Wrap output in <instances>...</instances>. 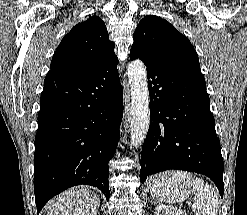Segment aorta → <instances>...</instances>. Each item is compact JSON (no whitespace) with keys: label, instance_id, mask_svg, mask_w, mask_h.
<instances>
[{"label":"aorta","instance_id":"obj_1","mask_svg":"<svg viewBox=\"0 0 247 215\" xmlns=\"http://www.w3.org/2000/svg\"><path fill=\"white\" fill-rule=\"evenodd\" d=\"M128 79L131 88V143L138 148L143 144L150 124L147 73L141 60L129 64Z\"/></svg>","mask_w":247,"mask_h":215}]
</instances>
